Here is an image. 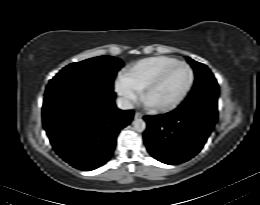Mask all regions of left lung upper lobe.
<instances>
[{
    "label": "left lung upper lobe",
    "mask_w": 260,
    "mask_h": 205,
    "mask_svg": "<svg viewBox=\"0 0 260 205\" xmlns=\"http://www.w3.org/2000/svg\"><path fill=\"white\" fill-rule=\"evenodd\" d=\"M194 69V87L182 105H205L217 111L218 84L213 74L204 64L186 57Z\"/></svg>",
    "instance_id": "obj_1"
}]
</instances>
